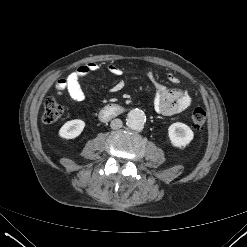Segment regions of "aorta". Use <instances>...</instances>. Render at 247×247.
Here are the masks:
<instances>
[{
    "label": "aorta",
    "mask_w": 247,
    "mask_h": 247,
    "mask_svg": "<svg viewBox=\"0 0 247 247\" xmlns=\"http://www.w3.org/2000/svg\"><path fill=\"white\" fill-rule=\"evenodd\" d=\"M146 122V115L141 109H132L127 114V126L133 130H141Z\"/></svg>",
    "instance_id": "aorta-1"
}]
</instances>
